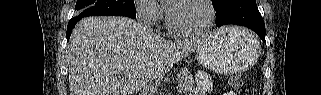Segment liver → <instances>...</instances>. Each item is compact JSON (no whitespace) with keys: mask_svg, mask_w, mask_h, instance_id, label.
Instances as JSON below:
<instances>
[{"mask_svg":"<svg viewBox=\"0 0 321 95\" xmlns=\"http://www.w3.org/2000/svg\"><path fill=\"white\" fill-rule=\"evenodd\" d=\"M200 43L165 40L125 17L83 18L67 47L70 95H135Z\"/></svg>","mask_w":321,"mask_h":95,"instance_id":"liver-1","label":"liver"}]
</instances>
